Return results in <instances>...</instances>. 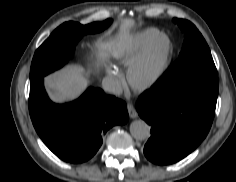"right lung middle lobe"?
Here are the masks:
<instances>
[{"label":"right lung middle lobe","instance_id":"right-lung-middle-lobe-1","mask_svg":"<svg viewBox=\"0 0 236 182\" xmlns=\"http://www.w3.org/2000/svg\"><path fill=\"white\" fill-rule=\"evenodd\" d=\"M111 22V19H107L88 25L72 21L63 23L36 50L31 64L30 81L61 68L72 56L74 45L83 35L101 32Z\"/></svg>","mask_w":236,"mask_h":182}]
</instances>
